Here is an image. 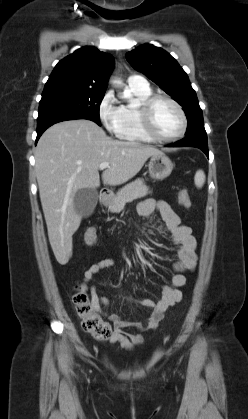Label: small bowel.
I'll return each mask as SVG.
<instances>
[{"label":"small bowel","mask_w":248,"mask_h":419,"mask_svg":"<svg viewBox=\"0 0 248 419\" xmlns=\"http://www.w3.org/2000/svg\"><path fill=\"white\" fill-rule=\"evenodd\" d=\"M155 211L160 214L172 241L178 247V260L173 265L175 273L172 276L171 285H166L162 288L160 299L156 302L149 299L138 301L141 307L151 310L145 321L132 323L120 318L118 315L105 314L114 325L109 342L111 344H119L126 350H132L135 346L142 344L144 341L142 332H150L156 329L165 311L182 300L181 288L186 284L184 273L193 271L197 264L196 240L192 235V230L188 225L182 223L180 217L173 211L171 206L164 201H156L151 198L143 200L138 205V213L141 216H148ZM113 265V259L105 258L93 263L84 273L81 288L83 291L92 294L93 302L97 308L107 306L109 300L106 297L98 296L96 287L90 286L89 283L102 269ZM128 327H134L139 333H127L125 329Z\"/></svg>","instance_id":"c3829d8e"}]
</instances>
